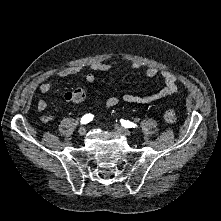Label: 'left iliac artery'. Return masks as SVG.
Returning a JSON list of instances; mask_svg holds the SVG:
<instances>
[{
  "mask_svg": "<svg viewBox=\"0 0 221 221\" xmlns=\"http://www.w3.org/2000/svg\"><path fill=\"white\" fill-rule=\"evenodd\" d=\"M120 122H121L122 126H124L125 128H130V127L135 128V127H137L136 124H134V123H132L128 120L121 119Z\"/></svg>",
  "mask_w": 221,
  "mask_h": 221,
  "instance_id": "1",
  "label": "left iliac artery"
}]
</instances>
